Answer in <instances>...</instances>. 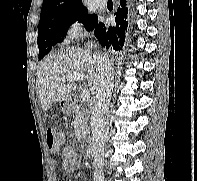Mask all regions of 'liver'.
Returning <instances> with one entry per match:
<instances>
[{"mask_svg": "<svg viewBox=\"0 0 197 181\" xmlns=\"http://www.w3.org/2000/svg\"><path fill=\"white\" fill-rule=\"evenodd\" d=\"M103 55L88 49L67 48L48 55L38 67L36 79V93L40 99L43 111H47L54 103L69 98L76 89V84L66 81H57L59 77L74 74H85L90 92L96 93L99 80V59Z\"/></svg>", "mask_w": 197, "mask_h": 181, "instance_id": "liver-1", "label": "liver"}]
</instances>
